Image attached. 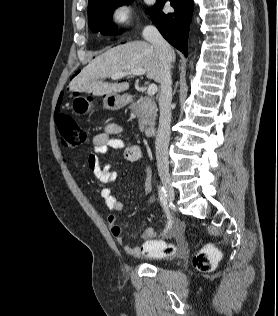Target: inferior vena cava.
Returning a JSON list of instances; mask_svg holds the SVG:
<instances>
[{
  "instance_id": "602c4592",
  "label": "inferior vena cava",
  "mask_w": 278,
  "mask_h": 316,
  "mask_svg": "<svg viewBox=\"0 0 278 316\" xmlns=\"http://www.w3.org/2000/svg\"><path fill=\"white\" fill-rule=\"evenodd\" d=\"M143 37L155 46L164 66V75L161 81V91L159 96L160 117L155 148L158 171L160 173H168V146L170 141L171 123L170 105L172 101L171 63L173 50L154 26H146L143 30Z\"/></svg>"
}]
</instances>
